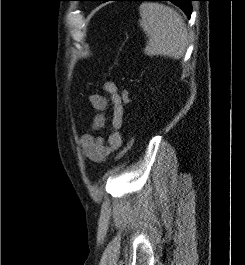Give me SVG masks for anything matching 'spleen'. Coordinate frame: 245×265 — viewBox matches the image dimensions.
I'll return each instance as SVG.
<instances>
[{
    "mask_svg": "<svg viewBox=\"0 0 245 265\" xmlns=\"http://www.w3.org/2000/svg\"><path fill=\"white\" fill-rule=\"evenodd\" d=\"M139 13V24L149 38L145 54L173 59L184 56L188 45V31L177 11L161 3L144 2L140 5Z\"/></svg>",
    "mask_w": 245,
    "mask_h": 265,
    "instance_id": "obj_1",
    "label": "spleen"
}]
</instances>
